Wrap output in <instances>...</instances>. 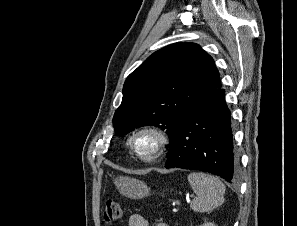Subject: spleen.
I'll list each match as a JSON object with an SVG mask.
<instances>
[{"label": "spleen", "mask_w": 297, "mask_h": 226, "mask_svg": "<svg viewBox=\"0 0 297 226\" xmlns=\"http://www.w3.org/2000/svg\"><path fill=\"white\" fill-rule=\"evenodd\" d=\"M188 181L197 195L190 204L193 211L208 212L223 204L225 186L217 177L192 172L188 175Z\"/></svg>", "instance_id": "spleen-1"}]
</instances>
